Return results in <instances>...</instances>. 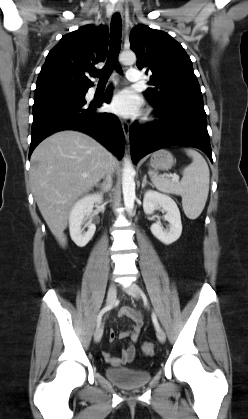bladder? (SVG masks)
I'll use <instances>...</instances> for the list:
<instances>
[{"label": "bladder", "mask_w": 248, "mask_h": 419, "mask_svg": "<svg viewBox=\"0 0 248 419\" xmlns=\"http://www.w3.org/2000/svg\"><path fill=\"white\" fill-rule=\"evenodd\" d=\"M105 376L122 388L134 389L146 385L152 375L149 370L134 367H109L105 369Z\"/></svg>", "instance_id": "bladder-1"}]
</instances>
